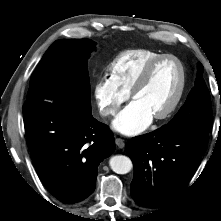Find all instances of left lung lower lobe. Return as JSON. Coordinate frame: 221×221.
<instances>
[{"instance_id": "left-lung-lower-lobe-1", "label": "left lung lower lobe", "mask_w": 221, "mask_h": 221, "mask_svg": "<svg viewBox=\"0 0 221 221\" xmlns=\"http://www.w3.org/2000/svg\"><path fill=\"white\" fill-rule=\"evenodd\" d=\"M209 132L164 129L132 138L126 151L134 164L131 195L146 207H161L181 195L207 148Z\"/></svg>"}]
</instances>
